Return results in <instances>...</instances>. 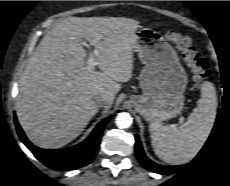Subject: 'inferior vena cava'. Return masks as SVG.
Returning <instances> with one entry per match:
<instances>
[{
	"instance_id": "obj_1",
	"label": "inferior vena cava",
	"mask_w": 230,
	"mask_h": 186,
	"mask_svg": "<svg viewBox=\"0 0 230 186\" xmlns=\"http://www.w3.org/2000/svg\"><path fill=\"white\" fill-rule=\"evenodd\" d=\"M94 102L98 107H105L108 103V99L104 95H99L94 98Z\"/></svg>"
}]
</instances>
